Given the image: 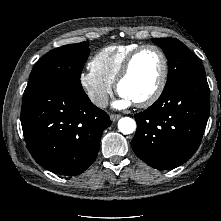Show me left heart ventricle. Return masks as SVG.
<instances>
[{"label":"left heart ventricle","mask_w":221,"mask_h":221,"mask_svg":"<svg viewBox=\"0 0 221 221\" xmlns=\"http://www.w3.org/2000/svg\"><path fill=\"white\" fill-rule=\"evenodd\" d=\"M162 70L159 54L153 49H146L135 59L130 74L122 82L120 93L139 102L146 99L156 88Z\"/></svg>","instance_id":"b2bd125f"}]
</instances>
